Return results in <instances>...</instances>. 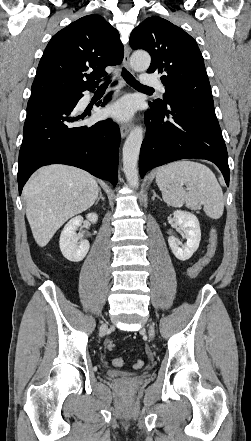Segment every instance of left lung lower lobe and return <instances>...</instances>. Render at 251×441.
<instances>
[{"label": "left lung lower lobe", "instance_id": "left-lung-lower-lobe-1", "mask_svg": "<svg viewBox=\"0 0 251 441\" xmlns=\"http://www.w3.org/2000/svg\"><path fill=\"white\" fill-rule=\"evenodd\" d=\"M149 105L139 158L141 178L157 166L197 158L215 163L229 185L228 154L212 97L195 95L164 107L154 102Z\"/></svg>", "mask_w": 251, "mask_h": 441}]
</instances>
